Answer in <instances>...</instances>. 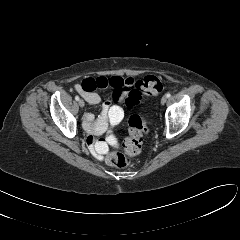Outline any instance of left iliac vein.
Returning a JSON list of instances; mask_svg holds the SVG:
<instances>
[{
	"instance_id": "4c4485c4",
	"label": "left iliac vein",
	"mask_w": 240,
	"mask_h": 240,
	"mask_svg": "<svg viewBox=\"0 0 240 240\" xmlns=\"http://www.w3.org/2000/svg\"><path fill=\"white\" fill-rule=\"evenodd\" d=\"M166 101H167V97H166V96H163V97L161 98V104H162V105L165 104Z\"/></svg>"
}]
</instances>
